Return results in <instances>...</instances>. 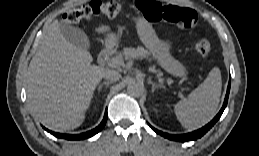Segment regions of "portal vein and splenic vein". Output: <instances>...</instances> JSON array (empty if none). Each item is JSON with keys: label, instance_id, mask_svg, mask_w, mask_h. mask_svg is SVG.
Instances as JSON below:
<instances>
[{"label": "portal vein and splenic vein", "instance_id": "1", "mask_svg": "<svg viewBox=\"0 0 259 156\" xmlns=\"http://www.w3.org/2000/svg\"><path fill=\"white\" fill-rule=\"evenodd\" d=\"M108 65L111 67H118L121 65V60L118 58H112L108 61Z\"/></svg>", "mask_w": 259, "mask_h": 156}]
</instances>
